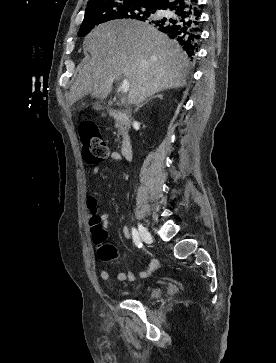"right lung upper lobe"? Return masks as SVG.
Masks as SVG:
<instances>
[{"mask_svg":"<svg viewBox=\"0 0 276 363\" xmlns=\"http://www.w3.org/2000/svg\"><path fill=\"white\" fill-rule=\"evenodd\" d=\"M98 1H102V0H89L88 5L98 2ZM129 1H136V2H144L150 6H154V7H158L162 2H164V0H129ZM147 20V19H145Z\"/></svg>","mask_w":276,"mask_h":363,"instance_id":"right-lung-upper-lobe-1","label":"right lung upper lobe"}]
</instances>
